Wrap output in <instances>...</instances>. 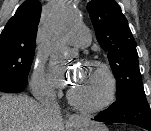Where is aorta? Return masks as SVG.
I'll use <instances>...</instances> for the list:
<instances>
[{"label":"aorta","mask_w":151,"mask_h":131,"mask_svg":"<svg viewBox=\"0 0 151 131\" xmlns=\"http://www.w3.org/2000/svg\"><path fill=\"white\" fill-rule=\"evenodd\" d=\"M78 20L79 16L72 7L59 6L53 11L49 19V30L54 36H58Z\"/></svg>","instance_id":"762f6f07"}]
</instances>
